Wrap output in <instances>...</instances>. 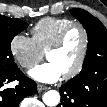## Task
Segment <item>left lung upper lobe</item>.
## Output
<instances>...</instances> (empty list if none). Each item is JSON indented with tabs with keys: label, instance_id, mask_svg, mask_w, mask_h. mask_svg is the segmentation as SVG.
<instances>
[{
	"label": "left lung upper lobe",
	"instance_id": "left-lung-upper-lobe-1",
	"mask_svg": "<svg viewBox=\"0 0 107 107\" xmlns=\"http://www.w3.org/2000/svg\"><path fill=\"white\" fill-rule=\"evenodd\" d=\"M71 13L83 24L88 34V50L82 71L71 81L86 85L85 81L96 73L107 77V30L98 19L85 10L74 8ZM82 89L85 90L84 87ZM77 101L78 99H73L69 104L78 107Z\"/></svg>",
	"mask_w": 107,
	"mask_h": 107
}]
</instances>
